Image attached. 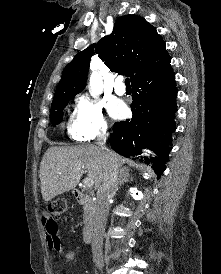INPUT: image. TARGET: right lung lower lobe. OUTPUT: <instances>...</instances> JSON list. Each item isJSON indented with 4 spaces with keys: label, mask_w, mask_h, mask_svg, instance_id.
<instances>
[{
    "label": "right lung lower lobe",
    "mask_w": 221,
    "mask_h": 274,
    "mask_svg": "<svg viewBox=\"0 0 221 274\" xmlns=\"http://www.w3.org/2000/svg\"><path fill=\"white\" fill-rule=\"evenodd\" d=\"M170 58L158 68L132 82V119L116 122L110 145L120 155L152 164L158 177L166 169L176 126L174 113L177 88ZM148 148L154 156H142Z\"/></svg>",
    "instance_id": "98d812e1"
}]
</instances>
